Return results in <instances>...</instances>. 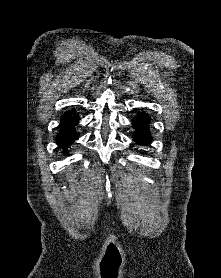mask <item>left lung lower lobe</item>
Segmentation results:
<instances>
[{
  "instance_id": "0a47b994",
  "label": "left lung lower lobe",
  "mask_w": 221,
  "mask_h": 278,
  "mask_svg": "<svg viewBox=\"0 0 221 278\" xmlns=\"http://www.w3.org/2000/svg\"><path fill=\"white\" fill-rule=\"evenodd\" d=\"M132 125L136 129L134 141L147 146L151 142V134L148 130L149 116L142 112L133 119Z\"/></svg>"
}]
</instances>
